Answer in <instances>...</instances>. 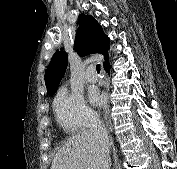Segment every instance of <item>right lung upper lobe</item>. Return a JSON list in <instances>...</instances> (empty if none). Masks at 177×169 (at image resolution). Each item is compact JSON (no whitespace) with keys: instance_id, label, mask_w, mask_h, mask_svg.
Listing matches in <instances>:
<instances>
[{"instance_id":"cb5924a9","label":"right lung upper lobe","mask_w":177,"mask_h":169,"mask_svg":"<svg viewBox=\"0 0 177 169\" xmlns=\"http://www.w3.org/2000/svg\"><path fill=\"white\" fill-rule=\"evenodd\" d=\"M80 25L75 36L74 49L82 57L90 53L104 55V66L109 64V42L110 39L103 32L101 25L91 15L84 13L79 15ZM68 63L65 52L56 51L45 73V84L47 94L53 95L57 85L64 76Z\"/></svg>"}]
</instances>
